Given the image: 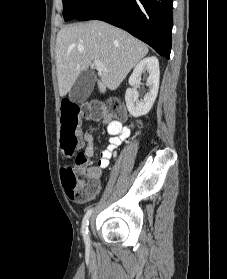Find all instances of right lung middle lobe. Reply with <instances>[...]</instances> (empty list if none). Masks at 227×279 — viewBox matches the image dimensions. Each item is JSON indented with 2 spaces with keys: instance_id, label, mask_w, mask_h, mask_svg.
<instances>
[{
  "instance_id": "dd1d6c3e",
  "label": "right lung middle lobe",
  "mask_w": 227,
  "mask_h": 279,
  "mask_svg": "<svg viewBox=\"0 0 227 279\" xmlns=\"http://www.w3.org/2000/svg\"><path fill=\"white\" fill-rule=\"evenodd\" d=\"M64 20L76 19L93 0H62Z\"/></svg>"
}]
</instances>
